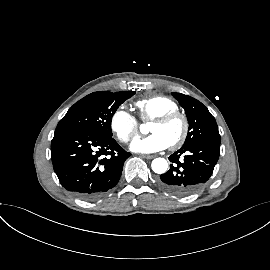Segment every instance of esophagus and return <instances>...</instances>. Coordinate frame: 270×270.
<instances>
[{"label":"esophagus","instance_id":"34e87169","mask_svg":"<svg viewBox=\"0 0 270 270\" xmlns=\"http://www.w3.org/2000/svg\"><path fill=\"white\" fill-rule=\"evenodd\" d=\"M143 158H146V159H153L155 156L154 155H149V154H144L142 155Z\"/></svg>","mask_w":270,"mask_h":270}]
</instances>
